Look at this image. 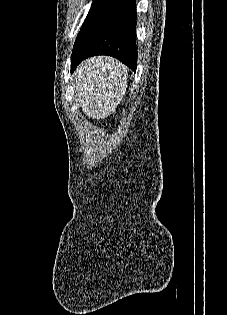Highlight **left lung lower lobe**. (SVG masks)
Returning a JSON list of instances; mask_svg holds the SVG:
<instances>
[{"mask_svg":"<svg viewBox=\"0 0 227 315\" xmlns=\"http://www.w3.org/2000/svg\"><path fill=\"white\" fill-rule=\"evenodd\" d=\"M136 0H97L76 38L71 72L95 55L117 58L134 72L137 66Z\"/></svg>","mask_w":227,"mask_h":315,"instance_id":"1","label":"left lung lower lobe"}]
</instances>
